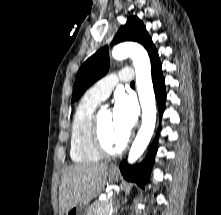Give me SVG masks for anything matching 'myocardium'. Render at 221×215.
Here are the masks:
<instances>
[{
  "instance_id": "obj_1",
  "label": "myocardium",
  "mask_w": 221,
  "mask_h": 215,
  "mask_svg": "<svg viewBox=\"0 0 221 215\" xmlns=\"http://www.w3.org/2000/svg\"><path fill=\"white\" fill-rule=\"evenodd\" d=\"M100 114L97 112L94 115L91 127V142L94 149L101 155L106 157H114L122 154L129 145V138L127 137L123 144L117 149H110L104 142L101 124H100Z\"/></svg>"
}]
</instances>
